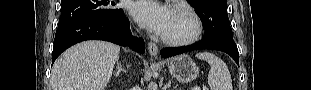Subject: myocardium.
Masks as SVG:
<instances>
[{
    "label": "myocardium",
    "instance_id": "f54148a6",
    "mask_svg": "<svg viewBox=\"0 0 311 90\" xmlns=\"http://www.w3.org/2000/svg\"><path fill=\"white\" fill-rule=\"evenodd\" d=\"M175 10L179 11L190 20L192 30L188 35L183 37H170L162 35V41L171 46H185L194 43L198 40L202 32V22L199 16L190 7L185 5H178L175 7Z\"/></svg>",
    "mask_w": 311,
    "mask_h": 90
}]
</instances>
